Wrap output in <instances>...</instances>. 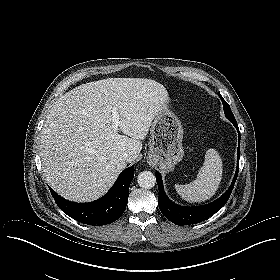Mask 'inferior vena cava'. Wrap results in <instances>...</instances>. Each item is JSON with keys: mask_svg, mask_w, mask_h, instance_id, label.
<instances>
[{"mask_svg": "<svg viewBox=\"0 0 280 280\" xmlns=\"http://www.w3.org/2000/svg\"><path fill=\"white\" fill-rule=\"evenodd\" d=\"M122 158H123L124 161H130L131 156H130L127 152H125V153L122 155Z\"/></svg>", "mask_w": 280, "mask_h": 280, "instance_id": "1", "label": "inferior vena cava"}]
</instances>
